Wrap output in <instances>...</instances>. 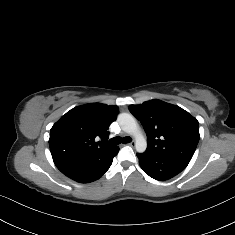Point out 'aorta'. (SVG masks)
I'll return each mask as SVG.
<instances>
[{"label": "aorta", "instance_id": "1", "mask_svg": "<svg viewBox=\"0 0 235 235\" xmlns=\"http://www.w3.org/2000/svg\"><path fill=\"white\" fill-rule=\"evenodd\" d=\"M118 122L122 130L134 138L136 150L144 152L147 148V141L136 119L131 114L122 113L118 116Z\"/></svg>", "mask_w": 235, "mask_h": 235}]
</instances>
